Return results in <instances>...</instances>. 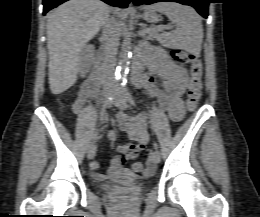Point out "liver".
<instances>
[{
	"mask_svg": "<svg viewBox=\"0 0 260 217\" xmlns=\"http://www.w3.org/2000/svg\"><path fill=\"white\" fill-rule=\"evenodd\" d=\"M109 15L110 7L100 0H69L48 14V76L53 94H61L76 83L80 53Z\"/></svg>",
	"mask_w": 260,
	"mask_h": 217,
	"instance_id": "6515ba94",
	"label": "liver"
}]
</instances>
